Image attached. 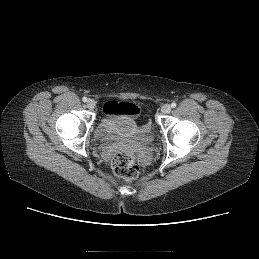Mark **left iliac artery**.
I'll list each match as a JSON object with an SVG mask.
<instances>
[{
    "mask_svg": "<svg viewBox=\"0 0 259 259\" xmlns=\"http://www.w3.org/2000/svg\"><path fill=\"white\" fill-rule=\"evenodd\" d=\"M176 106H177V104H176L175 102H172V103H171V107H172V108H175Z\"/></svg>",
    "mask_w": 259,
    "mask_h": 259,
    "instance_id": "left-iliac-artery-1",
    "label": "left iliac artery"
}]
</instances>
